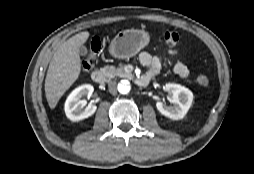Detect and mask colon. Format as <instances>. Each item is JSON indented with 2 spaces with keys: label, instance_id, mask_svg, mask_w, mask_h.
<instances>
[{
  "label": "colon",
  "instance_id": "obj_1",
  "mask_svg": "<svg viewBox=\"0 0 254 174\" xmlns=\"http://www.w3.org/2000/svg\"><path fill=\"white\" fill-rule=\"evenodd\" d=\"M162 38L164 42L170 46H174L179 42V35L174 31L169 30L164 31L162 34ZM100 49H101L100 40L97 38L93 39L87 48V52L82 58L81 65L83 70L88 71L96 65L97 56L100 52ZM197 82L201 86L206 87L209 85V78L204 74H199L197 76Z\"/></svg>",
  "mask_w": 254,
  "mask_h": 174
}]
</instances>
